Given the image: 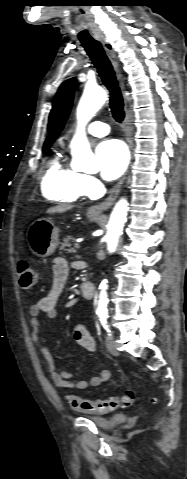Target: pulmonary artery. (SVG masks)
Listing matches in <instances>:
<instances>
[{
	"mask_svg": "<svg viewBox=\"0 0 187 479\" xmlns=\"http://www.w3.org/2000/svg\"><path fill=\"white\" fill-rule=\"evenodd\" d=\"M110 127L108 124L101 121H94L87 127V132L94 136H105L109 133Z\"/></svg>",
	"mask_w": 187,
	"mask_h": 479,
	"instance_id": "1",
	"label": "pulmonary artery"
}]
</instances>
